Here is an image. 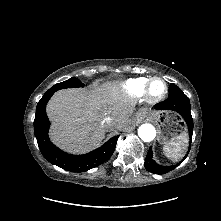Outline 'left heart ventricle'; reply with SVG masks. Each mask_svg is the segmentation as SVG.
I'll return each mask as SVG.
<instances>
[{
  "mask_svg": "<svg viewBox=\"0 0 221 221\" xmlns=\"http://www.w3.org/2000/svg\"><path fill=\"white\" fill-rule=\"evenodd\" d=\"M164 90L163 84L160 81H156L152 84L151 92L153 95H160Z\"/></svg>",
  "mask_w": 221,
  "mask_h": 221,
  "instance_id": "1",
  "label": "left heart ventricle"
}]
</instances>
